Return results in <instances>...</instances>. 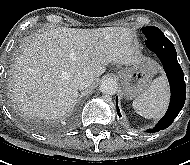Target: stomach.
Listing matches in <instances>:
<instances>
[{"mask_svg": "<svg viewBox=\"0 0 190 165\" xmlns=\"http://www.w3.org/2000/svg\"><path fill=\"white\" fill-rule=\"evenodd\" d=\"M157 66L149 60L140 61L119 72L124 95L127 99L141 96L150 86Z\"/></svg>", "mask_w": 190, "mask_h": 165, "instance_id": "1", "label": "stomach"}]
</instances>
